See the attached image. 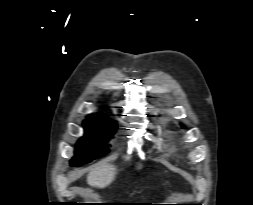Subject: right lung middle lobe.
<instances>
[{
    "instance_id": "dd1d6c3e",
    "label": "right lung middle lobe",
    "mask_w": 253,
    "mask_h": 205,
    "mask_svg": "<svg viewBox=\"0 0 253 205\" xmlns=\"http://www.w3.org/2000/svg\"><path fill=\"white\" fill-rule=\"evenodd\" d=\"M85 135L77 142L72 166H80L109 152L106 142L114 134L116 121L88 117L84 121Z\"/></svg>"
}]
</instances>
